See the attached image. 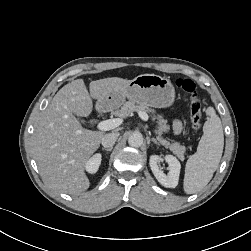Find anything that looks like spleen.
<instances>
[{
    "mask_svg": "<svg viewBox=\"0 0 251 251\" xmlns=\"http://www.w3.org/2000/svg\"><path fill=\"white\" fill-rule=\"evenodd\" d=\"M197 152L191 155L185 166L184 191L194 194L201 191L212 179L218 168L224 147L221 120L213 108L207 110Z\"/></svg>",
    "mask_w": 251,
    "mask_h": 251,
    "instance_id": "1",
    "label": "spleen"
}]
</instances>
